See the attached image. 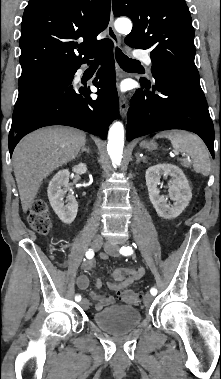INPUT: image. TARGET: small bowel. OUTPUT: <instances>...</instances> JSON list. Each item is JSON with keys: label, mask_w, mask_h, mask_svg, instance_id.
<instances>
[{"label": "small bowel", "mask_w": 221, "mask_h": 379, "mask_svg": "<svg viewBox=\"0 0 221 379\" xmlns=\"http://www.w3.org/2000/svg\"><path fill=\"white\" fill-rule=\"evenodd\" d=\"M95 262L93 260H86L82 267L84 270H91L94 268ZM145 275V269L138 267L134 269L118 268L112 272V281L108 283V287L119 294L124 291L133 282L142 279ZM77 286L80 289H87L89 286V279L86 275H80L77 278ZM102 287V280L98 278L95 283V288L100 289ZM90 297L95 301V309L102 310L108 305L114 302V298L110 295H101L96 291L90 292Z\"/></svg>", "instance_id": "small-bowel-1"}]
</instances>
